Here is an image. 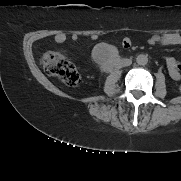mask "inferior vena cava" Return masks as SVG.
Returning <instances> with one entry per match:
<instances>
[{
	"label": "inferior vena cava",
	"instance_id": "obj_1",
	"mask_svg": "<svg viewBox=\"0 0 181 181\" xmlns=\"http://www.w3.org/2000/svg\"><path fill=\"white\" fill-rule=\"evenodd\" d=\"M132 64V61L130 59H123L121 61V67L130 66Z\"/></svg>",
	"mask_w": 181,
	"mask_h": 181
}]
</instances>
